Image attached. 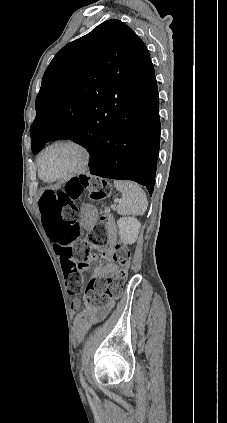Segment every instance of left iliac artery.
<instances>
[{
	"label": "left iliac artery",
	"mask_w": 227,
	"mask_h": 423,
	"mask_svg": "<svg viewBox=\"0 0 227 423\" xmlns=\"http://www.w3.org/2000/svg\"><path fill=\"white\" fill-rule=\"evenodd\" d=\"M79 377H80V381H81V384H82L83 388H84L86 391H88V390H89V387H88V385L86 384V382L84 381V377H83V375H82L81 371H80V373H79Z\"/></svg>",
	"instance_id": "44dca946"
}]
</instances>
